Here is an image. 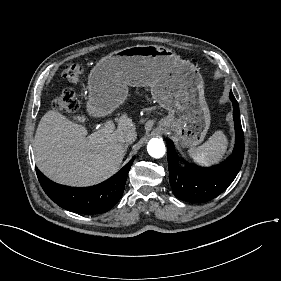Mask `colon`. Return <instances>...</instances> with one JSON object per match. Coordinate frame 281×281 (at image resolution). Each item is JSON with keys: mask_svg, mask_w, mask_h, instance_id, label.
Returning <instances> with one entry per match:
<instances>
[{"mask_svg": "<svg viewBox=\"0 0 281 281\" xmlns=\"http://www.w3.org/2000/svg\"><path fill=\"white\" fill-rule=\"evenodd\" d=\"M83 74V67L80 63L70 64L63 72V79L74 83L80 80ZM78 99L73 91L64 90L55 100V110L60 112L73 113L78 109Z\"/></svg>", "mask_w": 281, "mask_h": 281, "instance_id": "obj_1", "label": "colon"}]
</instances>
